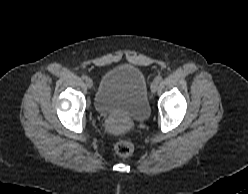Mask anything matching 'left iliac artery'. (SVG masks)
<instances>
[{
    "label": "left iliac artery",
    "mask_w": 248,
    "mask_h": 194,
    "mask_svg": "<svg viewBox=\"0 0 248 194\" xmlns=\"http://www.w3.org/2000/svg\"><path fill=\"white\" fill-rule=\"evenodd\" d=\"M156 81H157V82H161V81H162V78H161V77H157V78H156Z\"/></svg>",
    "instance_id": "1"
}]
</instances>
